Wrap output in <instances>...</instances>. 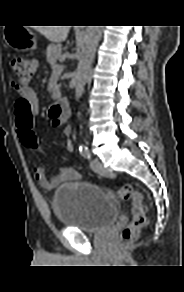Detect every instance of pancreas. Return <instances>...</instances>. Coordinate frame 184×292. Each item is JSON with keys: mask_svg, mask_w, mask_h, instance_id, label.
I'll return each instance as SVG.
<instances>
[{"mask_svg": "<svg viewBox=\"0 0 184 292\" xmlns=\"http://www.w3.org/2000/svg\"><path fill=\"white\" fill-rule=\"evenodd\" d=\"M61 53H62V47L60 44L49 45L47 47V51H46L47 61L53 69L56 66L57 60L61 57Z\"/></svg>", "mask_w": 184, "mask_h": 292, "instance_id": "cf45deb5", "label": "pancreas"}]
</instances>
